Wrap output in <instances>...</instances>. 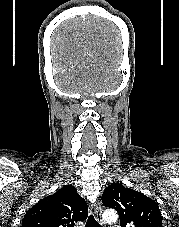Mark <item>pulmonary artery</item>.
<instances>
[{
  "mask_svg": "<svg viewBox=\"0 0 179 227\" xmlns=\"http://www.w3.org/2000/svg\"><path fill=\"white\" fill-rule=\"evenodd\" d=\"M111 227H121V226L118 224H113V225H111Z\"/></svg>",
  "mask_w": 179,
  "mask_h": 227,
  "instance_id": "1",
  "label": "pulmonary artery"
}]
</instances>
